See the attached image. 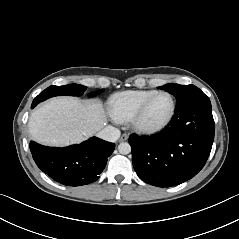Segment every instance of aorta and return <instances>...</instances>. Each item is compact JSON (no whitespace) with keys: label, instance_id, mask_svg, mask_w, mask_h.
<instances>
[{"label":"aorta","instance_id":"762f6f07","mask_svg":"<svg viewBox=\"0 0 239 239\" xmlns=\"http://www.w3.org/2000/svg\"><path fill=\"white\" fill-rule=\"evenodd\" d=\"M118 151L123 155L129 154L131 152V146L127 142H122L118 145Z\"/></svg>","mask_w":239,"mask_h":239}]
</instances>
